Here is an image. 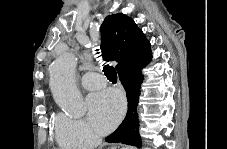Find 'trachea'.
Listing matches in <instances>:
<instances>
[{
  "instance_id": "1",
  "label": "trachea",
  "mask_w": 227,
  "mask_h": 149,
  "mask_svg": "<svg viewBox=\"0 0 227 149\" xmlns=\"http://www.w3.org/2000/svg\"><path fill=\"white\" fill-rule=\"evenodd\" d=\"M103 71L109 81H112L113 83L117 82V72L115 68L109 65H104Z\"/></svg>"
}]
</instances>
